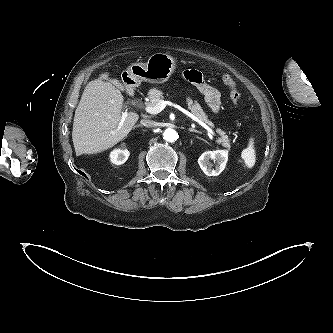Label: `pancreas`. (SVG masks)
I'll return each instance as SVG.
<instances>
[{
    "mask_svg": "<svg viewBox=\"0 0 333 333\" xmlns=\"http://www.w3.org/2000/svg\"><path fill=\"white\" fill-rule=\"evenodd\" d=\"M150 102L147 103V105L150 106H156L160 100L164 98L163 92L159 89L153 88L148 93ZM186 104L189 110L198 117L201 121L204 123L209 124L210 126H213V124L208 120L206 114L204 113L203 109L199 105V103L194 102L190 97L186 98ZM217 132L221 135V138L219 139V142L222 143V146L230 150V141L228 139V136L225 135V133L221 129H217Z\"/></svg>",
    "mask_w": 333,
    "mask_h": 333,
    "instance_id": "1",
    "label": "pancreas"
}]
</instances>
